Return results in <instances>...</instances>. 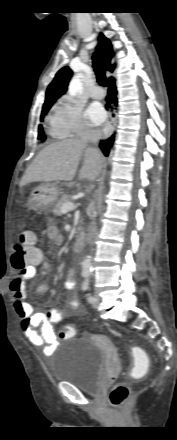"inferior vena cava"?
Instances as JSON below:
<instances>
[{
  "instance_id": "obj_1",
  "label": "inferior vena cava",
  "mask_w": 177,
  "mask_h": 440,
  "mask_svg": "<svg viewBox=\"0 0 177 440\" xmlns=\"http://www.w3.org/2000/svg\"><path fill=\"white\" fill-rule=\"evenodd\" d=\"M101 137V130L100 129H91V128H86L83 132L82 135V140L84 142H92L94 144H96L98 142V140ZM93 215H92V219H93ZM95 222L92 221V225H91V229H90V240L93 236V234L95 233Z\"/></svg>"
}]
</instances>
